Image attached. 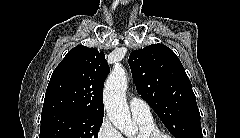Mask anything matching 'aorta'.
Instances as JSON below:
<instances>
[{"label": "aorta", "mask_w": 240, "mask_h": 138, "mask_svg": "<svg viewBox=\"0 0 240 138\" xmlns=\"http://www.w3.org/2000/svg\"><path fill=\"white\" fill-rule=\"evenodd\" d=\"M127 76L124 68L114 66L104 87V106L109 120L123 134L131 137L136 132V126L131 120L126 102Z\"/></svg>", "instance_id": "1"}]
</instances>
